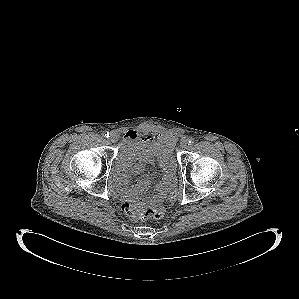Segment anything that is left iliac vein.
<instances>
[{"instance_id":"obj_1","label":"left iliac vein","mask_w":299,"mask_h":299,"mask_svg":"<svg viewBox=\"0 0 299 299\" xmlns=\"http://www.w3.org/2000/svg\"><path fill=\"white\" fill-rule=\"evenodd\" d=\"M188 140L187 139H183L182 141H181V143H180V147L182 148V149H187L188 148Z\"/></svg>"}]
</instances>
